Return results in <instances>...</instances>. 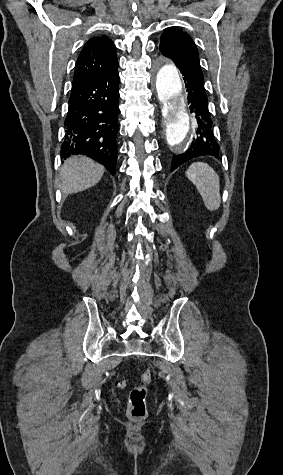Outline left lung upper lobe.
<instances>
[{"label":"left lung upper lobe","instance_id":"left-lung-upper-lobe-1","mask_svg":"<svg viewBox=\"0 0 283 475\" xmlns=\"http://www.w3.org/2000/svg\"><path fill=\"white\" fill-rule=\"evenodd\" d=\"M160 51L173 60L177 67L201 68L199 54L192 38L179 29H167L161 36Z\"/></svg>","mask_w":283,"mask_h":475}]
</instances>
